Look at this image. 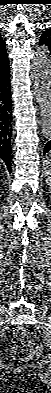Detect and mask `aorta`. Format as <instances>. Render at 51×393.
I'll use <instances>...</instances> for the list:
<instances>
[{
	"mask_svg": "<svg viewBox=\"0 0 51 393\" xmlns=\"http://www.w3.org/2000/svg\"><path fill=\"white\" fill-rule=\"evenodd\" d=\"M31 78L34 92L42 113V132L46 138L51 137V58L46 45L36 49L32 60Z\"/></svg>",
	"mask_w": 51,
	"mask_h": 393,
	"instance_id": "1",
	"label": "aorta"
}]
</instances>
